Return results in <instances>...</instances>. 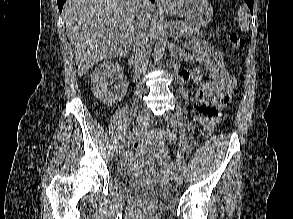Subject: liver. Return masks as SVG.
Here are the masks:
<instances>
[{"mask_svg":"<svg viewBox=\"0 0 293 219\" xmlns=\"http://www.w3.org/2000/svg\"><path fill=\"white\" fill-rule=\"evenodd\" d=\"M137 0H67L63 7L66 33L74 50L78 76L112 57H125L134 41ZM140 12L146 25L153 6Z\"/></svg>","mask_w":293,"mask_h":219,"instance_id":"1","label":"liver"}]
</instances>
